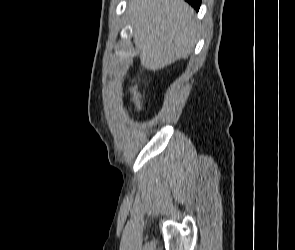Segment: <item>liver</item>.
<instances>
[{
	"instance_id": "1",
	"label": "liver",
	"mask_w": 295,
	"mask_h": 250,
	"mask_svg": "<svg viewBox=\"0 0 295 250\" xmlns=\"http://www.w3.org/2000/svg\"><path fill=\"white\" fill-rule=\"evenodd\" d=\"M127 10L145 69H163L192 53L198 23L185 1L130 0Z\"/></svg>"
}]
</instances>
